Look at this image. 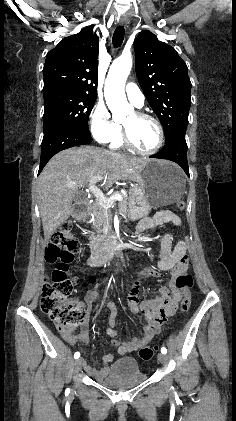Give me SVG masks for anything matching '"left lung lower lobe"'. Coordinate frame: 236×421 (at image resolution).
Returning a JSON list of instances; mask_svg holds the SVG:
<instances>
[{"label": "left lung lower lobe", "mask_w": 236, "mask_h": 421, "mask_svg": "<svg viewBox=\"0 0 236 421\" xmlns=\"http://www.w3.org/2000/svg\"><path fill=\"white\" fill-rule=\"evenodd\" d=\"M184 130H178L165 138L164 148L151 158L167 159L179 164L185 173L189 176V167L187 161V144Z\"/></svg>", "instance_id": "1"}]
</instances>
